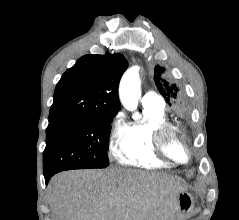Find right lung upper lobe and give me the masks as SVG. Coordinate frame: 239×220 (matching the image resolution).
I'll use <instances>...</instances> for the list:
<instances>
[{
	"label": "right lung upper lobe",
	"mask_w": 239,
	"mask_h": 220,
	"mask_svg": "<svg viewBox=\"0 0 239 220\" xmlns=\"http://www.w3.org/2000/svg\"><path fill=\"white\" fill-rule=\"evenodd\" d=\"M126 69L120 54L81 57L57 83L49 117L116 115L121 108L118 85Z\"/></svg>",
	"instance_id": "cb5924a9"
}]
</instances>
